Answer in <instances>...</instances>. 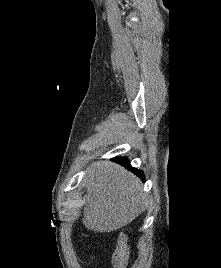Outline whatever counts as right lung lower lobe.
Listing matches in <instances>:
<instances>
[{"label": "right lung lower lobe", "instance_id": "98d812e1", "mask_svg": "<svg viewBox=\"0 0 221 268\" xmlns=\"http://www.w3.org/2000/svg\"><path fill=\"white\" fill-rule=\"evenodd\" d=\"M113 161L121 164L122 166H125L126 168H128L129 170H131L134 174H136L137 176H139L143 181L145 179V176L143 174L142 171L137 170V169H133L129 163V160L127 158H123V157H116L113 159Z\"/></svg>", "mask_w": 221, "mask_h": 268}]
</instances>
